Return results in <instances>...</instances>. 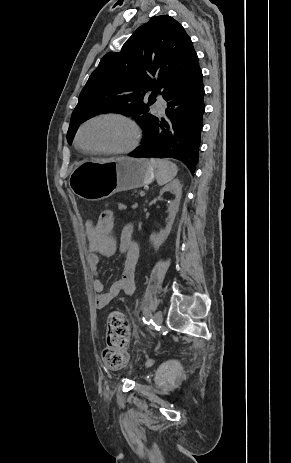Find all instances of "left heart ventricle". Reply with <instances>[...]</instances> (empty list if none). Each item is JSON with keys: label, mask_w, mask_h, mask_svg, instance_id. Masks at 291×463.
Returning a JSON list of instances; mask_svg holds the SVG:
<instances>
[{"label": "left heart ventricle", "mask_w": 291, "mask_h": 463, "mask_svg": "<svg viewBox=\"0 0 291 463\" xmlns=\"http://www.w3.org/2000/svg\"><path fill=\"white\" fill-rule=\"evenodd\" d=\"M130 127L119 120H99L84 128L80 143L86 148H118L131 140Z\"/></svg>", "instance_id": "1"}]
</instances>
